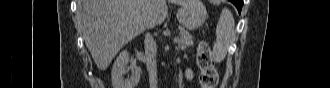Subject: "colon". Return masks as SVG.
Instances as JSON below:
<instances>
[{"label": "colon", "instance_id": "colon-1", "mask_svg": "<svg viewBox=\"0 0 330 88\" xmlns=\"http://www.w3.org/2000/svg\"><path fill=\"white\" fill-rule=\"evenodd\" d=\"M197 65L200 70V84L202 88H214L218 82V73L209 46L200 42L197 48Z\"/></svg>", "mask_w": 330, "mask_h": 88}]
</instances>
